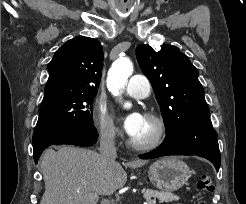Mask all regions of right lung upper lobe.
Wrapping results in <instances>:
<instances>
[{
  "label": "right lung upper lobe",
  "mask_w": 246,
  "mask_h": 204,
  "mask_svg": "<svg viewBox=\"0 0 246 204\" xmlns=\"http://www.w3.org/2000/svg\"><path fill=\"white\" fill-rule=\"evenodd\" d=\"M103 67L101 44L88 37L67 41L48 64L43 101L73 93H97Z\"/></svg>",
  "instance_id": "cb5924a9"
}]
</instances>
